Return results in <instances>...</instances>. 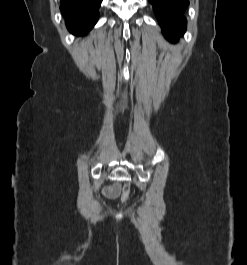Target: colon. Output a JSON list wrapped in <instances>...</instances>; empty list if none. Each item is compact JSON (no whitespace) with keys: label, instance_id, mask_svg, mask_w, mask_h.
<instances>
[{"label":"colon","instance_id":"obj_1","mask_svg":"<svg viewBox=\"0 0 247 265\" xmlns=\"http://www.w3.org/2000/svg\"><path fill=\"white\" fill-rule=\"evenodd\" d=\"M129 193H130V186L128 184H125L122 188V200L125 201L128 196H129Z\"/></svg>","mask_w":247,"mask_h":265}]
</instances>
